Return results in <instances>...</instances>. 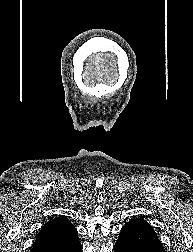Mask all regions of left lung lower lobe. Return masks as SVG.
<instances>
[{
	"instance_id": "1",
	"label": "left lung lower lobe",
	"mask_w": 193,
	"mask_h": 252,
	"mask_svg": "<svg viewBox=\"0 0 193 252\" xmlns=\"http://www.w3.org/2000/svg\"><path fill=\"white\" fill-rule=\"evenodd\" d=\"M114 249L115 252H165L155 231L148 223L126 224Z\"/></svg>"
}]
</instances>
